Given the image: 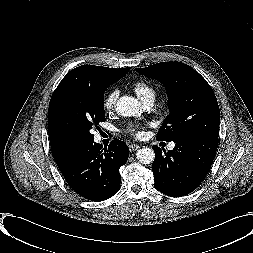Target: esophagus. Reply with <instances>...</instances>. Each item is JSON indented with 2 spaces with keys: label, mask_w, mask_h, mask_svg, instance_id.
Masks as SVG:
<instances>
[{
  "label": "esophagus",
  "mask_w": 253,
  "mask_h": 253,
  "mask_svg": "<svg viewBox=\"0 0 253 253\" xmlns=\"http://www.w3.org/2000/svg\"><path fill=\"white\" fill-rule=\"evenodd\" d=\"M138 148H139V145H137V144H131V145L129 146L130 152H134V151H136Z\"/></svg>",
  "instance_id": "obj_1"
}]
</instances>
